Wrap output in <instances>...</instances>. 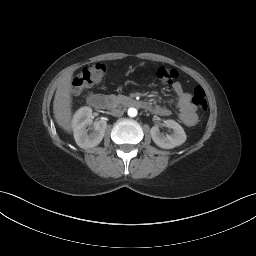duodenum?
<instances>
[{
	"label": "duodenum",
	"mask_w": 256,
	"mask_h": 256,
	"mask_svg": "<svg viewBox=\"0 0 256 256\" xmlns=\"http://www.w3.org/2000/svg\"><path fill=\"white\" fill-rule=\"evenodd\" d=\"M87 102L89 106L94 109H103L107 104V98L104 95L93 93L90 94L87 98ZM131 106L139 107V108H148V104L144 101L131 99L128 101Z\"/></svg>",
	"instance_id": "410a0bca"
}]
</instances>
